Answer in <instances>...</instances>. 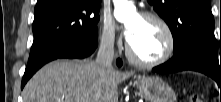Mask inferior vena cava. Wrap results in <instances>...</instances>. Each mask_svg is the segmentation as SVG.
<instances>
[{"label":"inferior vena cava","mask_w":221,"mask_h":102,"mask_svg":"<svg viewBox=\"0 0 221 102\" xmlns=\"http://www.w3.org/2000/svg\"><path fill=\"white\" fill-rule=\"evenodd\" d=\"M114 58V35L102 38L95 63L104 68H112Z\"/></svg>","instance_id":"inferior-vena-cava-1"}]
</instances>
